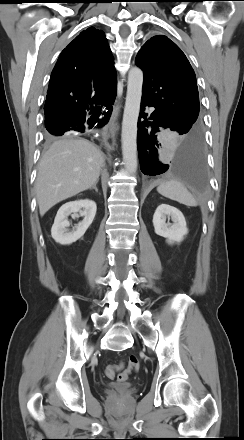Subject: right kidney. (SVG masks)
Segmentation results:
<instances>
[{"mask_svg": "<svg viewBox=\"0 0 244 440\" xmlns=\"http://www.w3.org/2000/svg\"><path fill=\"white\" fill-rule=\"evenodd\" d=\"M97 206L89 199L77 200L65 203L60 207L51 228L52 238L61 245H70L80 239L92 224ZM80 212L84 219L75 226L73 231H69L70 222L68 216L72 213Z\"/></svg>", "mask_w": 244, "mask_h": 440, "instance_id": "ca27d5eb", "label": "right kidney"}]
</instances>
